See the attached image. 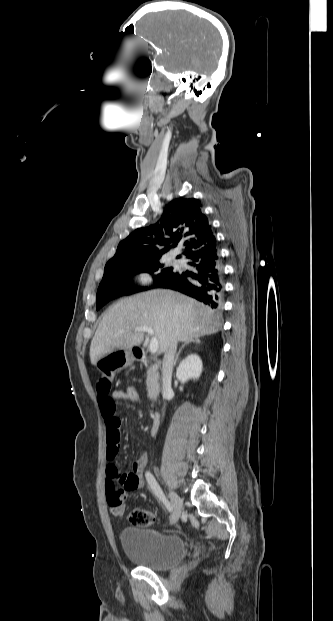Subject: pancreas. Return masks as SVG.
Listing matches in <instances>:
<instances>
[{
  "mask_svg": "<svg viewBox=\"0 0 333 621\" xmlns=\"http://www.w3.org/2000/svg\"><path fill=\"white\" fill-rule=\"evenodd\" d=\"M159 374L156 369L150 368L147 372L146 387L148 391V398L154 400L157 397V391Z\"/></svg>",
  "mask_w": 333,
  "mask_h": 621,
  "instance_id": "1",
  "label": "pancreas"
}]
</instances>
